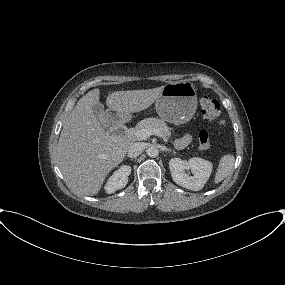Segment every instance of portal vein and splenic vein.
Here are the masks:
<instances>
[{"mask_svg": "<svg viewBox=\"0 0 285 285\" xmlns=\"http://www.w3.org/2000/svg\"><path fill=\"white\" fill-rule=\"evenodd\" d=\"M151 135L163 137V134L158 129L142 128L136 131L135 136L138 140H145Z\"/></svg>", "mask_w": 285, "mask_h": 285, "instance_id": "18ae733b", "label": "portal vein and splenic vein"}]
</instances>
